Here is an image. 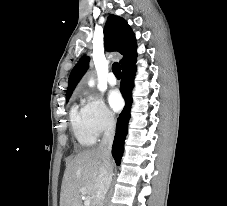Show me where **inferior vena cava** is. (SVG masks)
I'll use <instances>...</instances> for the list:
<instances>
[{"instance_id":"inferior-vena-cava-1","label":"inferior vena cava","mask_w":227,"mask_h":206,"mask_svg":"<svg viewBox=\"0 0 227 206\" xmlns=\"http://www.w3.org/2000/svg\"><path fill=\"white\" fill-rule=\"evenodd\" d=\"M115 119L113 115H109L106 123V129L97 150L102 154L103 166L100 169L93 195L94 206H103V202L112 180L111 167V149L115 134Z\"/></svg>"}]
</instances>
